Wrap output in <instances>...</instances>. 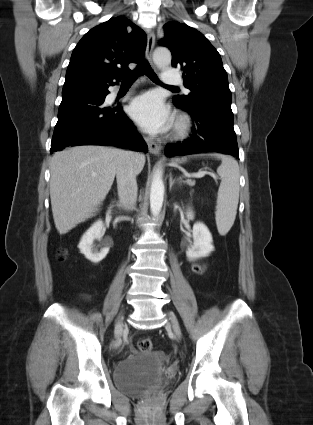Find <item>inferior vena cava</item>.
<instances>
[{"mask_svg":"<svg viewBox=\"0 0 313 425\" xmlns=\"http://www.w3.org/2000/svg\"><path fill=\"white\" fill-rule=\"evenodd\" d=\"M135 158V153L124 152L120 156L116 171L119 201L126 210H132L137 200Z\"/></svg>","mask_w":313,"mask_h":425,"instance_id":"602c4592","label":"inferior vena cava"}]
</instances>
